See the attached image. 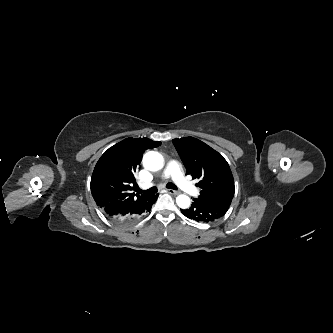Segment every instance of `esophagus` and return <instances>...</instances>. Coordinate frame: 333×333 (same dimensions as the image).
<instances>
[{"instance_id": "34e87169", "label": "esophagus", "mask_w": 333, "mask_h": 333, "mask_svg": "<svg viewBox=\"0 0 333 333\" xmlns=\"http://www.w3.org/2000/svg\"><path fill=\"white\" fill-rule=\"evenodd\" d=\"M166 192H168L171 195H179L180 194L179 191H175V190H172V189H168V190H166Z\"/></svg>"}]
</instances>
